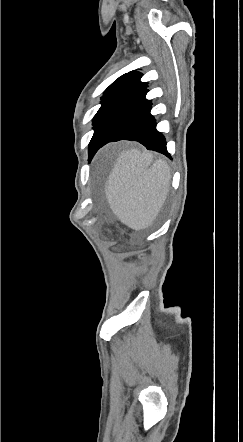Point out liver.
<instances>
[{"mask_svg": "<svg viewBox=\"0 0 243 442\" xmlns=\"http://www.w3.org/2000/svg\"><path fill=\"white\" fill-rule=\"evenodd\" d=\"M137 148L122 151L105 185L113 213L133 230L153 224L170 190L171 172L163 159Z\"/></svg>", "mask_w": 243, "mask_h": 442, "instance_id": "liver-1", "label": "liver"}]
</instances>
